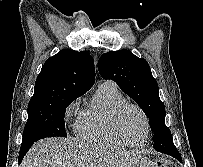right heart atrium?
<instances>
[{
  "instance_id": "1",
  "label": "right heart atrium",
  "mask_w": 203,
  "mask_h": 167,
  "mask_svg": "<svg viewBox=\"0 0 203 167\" xmlns=\"http://www.w3.org/2000/svg\"><path fill=\"white\" fill-rule=\"evenodd\" d=\"M77 109H78V101L72 102L66 109V116L67 117L72 116Z\"/></svg>"
}]
</instances>
